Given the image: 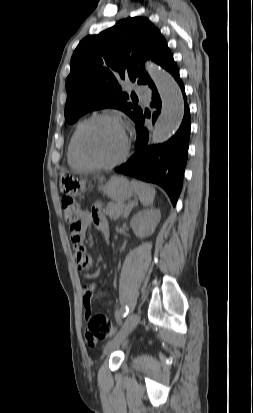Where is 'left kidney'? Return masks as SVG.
<instances>
[{"label":"left kidney","mask_w":253,"mask_h":413,"mask_svg":"<svg viewBox=\"0 0 253 413\" xmlns=\"http://www.w3.org/2000/svg\"><path fill=\"white\" fill-rule=\"evenodd\" d=\"M161 218L160 210H143L137 213L130 222L133 232L140 237H147L154 233Z\"/></svg>","instance_id":"5707ae66"}]
</instances>
